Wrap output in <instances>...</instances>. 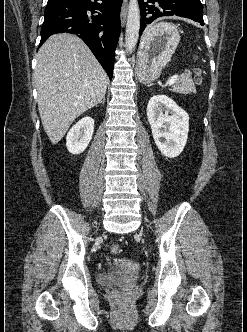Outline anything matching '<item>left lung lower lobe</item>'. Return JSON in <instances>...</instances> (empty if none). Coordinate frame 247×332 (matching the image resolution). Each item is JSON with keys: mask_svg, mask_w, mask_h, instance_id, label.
Returning a JSON list of instances; mask_svg holds the SVG:
<instances>
[{"mask_svg": "<svg viewBox=\"0 0 247 332\" xmlns=\"http://www.w3.org/2000/svg\"><path fill=\"white\" fill-rule=\"evenodd\" d=\"M141 11V26L139 37L142 32L154 20L164 16H180L199 22L204 25L203 8L200 0H138ZM149 3H157L156 6Z\"/></svg>", "mask_w": 247, "mask_h": 332, "instance_id": "left-lung-lower-lobe-1", "label": "left lung lower lobe"}]
</instances>
